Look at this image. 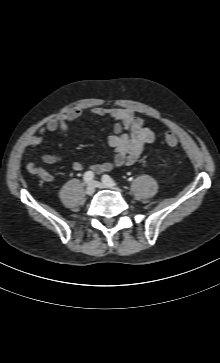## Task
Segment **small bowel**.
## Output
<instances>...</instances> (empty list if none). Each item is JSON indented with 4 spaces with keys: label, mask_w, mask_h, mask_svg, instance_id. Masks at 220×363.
Returning <instances> with one entry per match:
<instances>
[{
    "label": "small bowel",
    "mask_w": 220,
    "mask_h": 363,
    "mask_svg": "<svg viewBox=\"0 0 220 363\" xmlns=\"http://www.w3.org/2000/svg\"><path fill=\"white\" fill-rule=\"evenodd\" d=\"M86 112L98 117L108 116L114 121V133L108 138V144L115 152L114 158L109 162L90 165L89 169L91 172L101 173L132 165L138 161L143 149L154 142V132L146 127L145 120L136 116L132 110L97 107L87 111L75 109L65 114L61 119L49 120L37 134L30 138L28 146L33 150H37L45 141L47 132H55L57 130L67 132V123L78 119ZM124 130H127V132ZM41 159L46 164H53L58 161L59 156L57 154L43 153L41 154ZM26 168L44 182L51 183L54 181L53 175L41 165L26 162ZM72 169L81 171L84 169V165L76 161L72 164Z\"/></svg>",
    "instance_id": "small-bowel-1"
}]
</instances>
